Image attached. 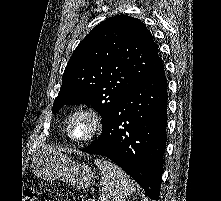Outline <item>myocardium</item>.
I'll return each instance as SVG.
<instances>
[{
	"instance_id": "1",
	"label": "myocardium",
	"mask_w": 221,
	"mask_h": 201,
	"mask_svg": "<svg viewBox=\"0 0 221 201\" xmlns=\"http://www.w3.org/2000/svg\"><path fill=\"white\" fill-rule=\"evenodd\" d=\"M77 117H85L90 122V130L88 134L83 137H74L71 131L72 123ZM101 126V116L93 107L80 106L69 115L66 123V134L72 141L84 143L92 140L100 132Z\"/></svg>"
}]
</instances>
